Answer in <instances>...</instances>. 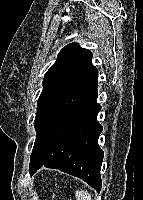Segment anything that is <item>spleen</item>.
<instances>
[{
    "label": "spleen",
    "mask_w": 143,
    "mask_h": 200,
    "mask_svg": "<svg viewBox=\"0 0 143 200\" xmlns=\"http://www.w3.org/2000/svg\"><path fill=\"white\" fill-rule=\"evenodd\" d=\"M77 200H92L90 193L87 190L76 191Z\"/></svg>",
    "instance_id": "1"
}]
</instances>
